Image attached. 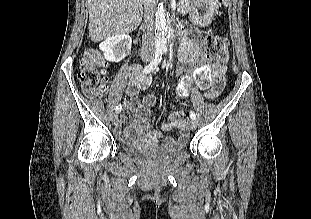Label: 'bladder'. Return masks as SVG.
Returning a JSON list of instances; mask_svg holds the SVG:
<instances>
[{"label": "bladder", "instance_id": "31cf9c89", "mask_svg": "<svg viewBox=\"0 0 311 219\" xmlns=\"http://www.w3.org/2000/svg\"><path fill=\"white\" fill-rule=\"evenodd\" d=\"M124 148L133 154L153 155L163 158H170L178 155L184 148L183 143H178L171 147H160L156 144H148L145 146L138 145L137 142H126Z\"/></svg>", "mask_w": 311, "mask_h": 219}]
</instances>
